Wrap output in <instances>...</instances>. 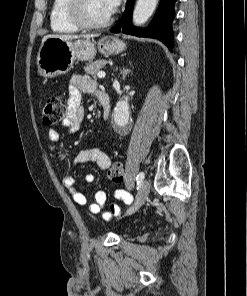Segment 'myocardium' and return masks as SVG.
<instances>
[{
	"label": "myocardium",
	"mask_w": 247,
	"mask_h": 296,
	"mask_svg": "<svg viewBox=\"0 0 247 296\" xmlns=\"http://www.w3.org/2000/svg\"><path fill=\"white\" fill-rule=\"evenodd\" d=\"M85 0H69L67 7V15L69 20L78 28L84 30L102 29L109 26L112 17L109 16L105 21L92 23L85 19L83 9Z\"/></svg>",
	"instance_id": "myocardium-1"
}]
</instances>
